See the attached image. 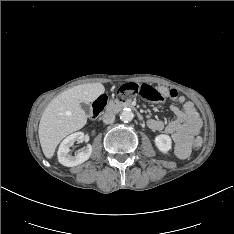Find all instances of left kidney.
I'll return each mask as SVG.
<instances>
[{"label": "left kidney", "mask_w": 234, "mask_h": 234, "mask_svg": "<svg viewBox=\"0 0 234 234\" xmlns=\"http://www.w3.org/2000/svg\"><path fill=\"white\" fill-rule=\"evenodd\" d=\"M155 145L164 154H167L172 148V140L166 134L157 135L155 137Z\"/></svg>", "instance_id": "obj_1"}]
</instances>
